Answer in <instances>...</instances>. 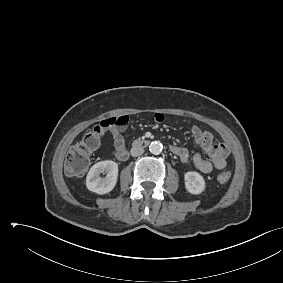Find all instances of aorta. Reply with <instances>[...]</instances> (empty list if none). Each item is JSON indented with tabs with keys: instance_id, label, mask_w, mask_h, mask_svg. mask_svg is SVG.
Returning a JSON list of instances; mask_svg holds the SVG:
<instances>
[{
	"instance_id": "obj_1",
	"label": "aorta",
	"mask_w": 283,
	"mask_h": 283,
	"mask_svg": "<svg viewBox=\"0 0 283 283\" xmlns=\"http://www.w3.org/2000/svg\"><path fill=\"white\" fill-rule=\"evenodd\" d=\"M149 150L153 154H160L163 150V145L158 141L151 142Z\"/></svg>"
}]
</instances>
